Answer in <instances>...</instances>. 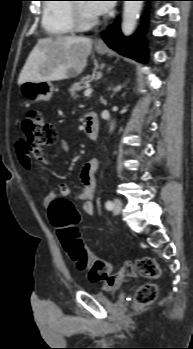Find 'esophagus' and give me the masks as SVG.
Returning a JSON list of instances; mask_svg holds the SVG:
<instances>
[{
    "instance_id": "34e87169",
    "label": "esophagus",
    "mask_w": 193,
    "mask_h": 349,
    "mask_svg": "<svg viewBox=\"0 0 193 349\" xmlns=\"http://www.w3.org/2000/svg\"><path fill=\"white\" fill-rule=\"evenodd\" d=\"M97 47H106V44L103 39H99L96 43Z\"/></svg>"
}]
</instances>
